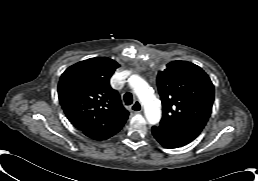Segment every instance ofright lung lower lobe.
I'll use <instances>...</instances> for the list:
<instances>
[{"label": "right lung lower lobe", "instance_id": "right-lung-lower-lobe-1", "mask_svg": "<svg viewBox=\"0 0 258 181\" xmlns=\"http://www.w3.org/2000/svg\"><path fill=\"white\" fill-rule=\"evenodd\" d=\"M123 125H124V123L114 124V125H111V126H108L105 128H100V129L94 130L85 135H87L88 137H90L92 139L105 140V139H108L109 137L115 135L118 131H120V129L122 128Z\"/></svg>", "mask_w": 258, "mask_h": 181}]
</instances>
